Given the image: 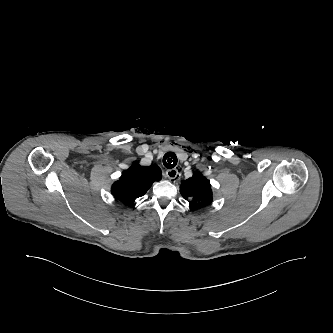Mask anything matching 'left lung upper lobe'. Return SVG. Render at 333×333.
Returning a JSON list of instances; mask_svg holds the SVG:
<instances>
[{"label":"left lung upper lobe","instance_id":"5c2ea615","mask_svg":"<svg viewBox=\"0 0 333 333\" xmlns=\"http://www.w3.org/2000/svg\"><path fill=\"white\" fill-rule=\"evenodd\" d=\"M180 185V192L186 200H190V208L197 210L212 202V191L209 180L200 172H195Z\"/></svg>","mask_w":333,"mask_h":333}]
</instances>
